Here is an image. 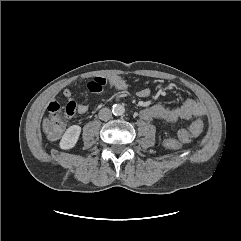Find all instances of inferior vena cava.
Returning a JSON list of instances; mask_svg holds the SVG:
<instances>
[{"mask_svg":"<svg viewBox=\"0 0 241 241\" xmlns=\"http://www.w3.org/2000/svg\"><path fill=\"white\" fill-rule=\"evenodd\" d=\"M112 117V112L109 108H102L99 111V118L103 121H107Z\"/></svg>","mask_w":241,"mask_h":241,"instance_id":"1","label":"inferior vena cava"}]
</instances>
